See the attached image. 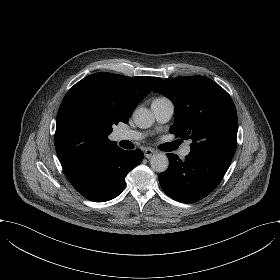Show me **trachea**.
Wrapping results in <instances>:
<instances>
[{
  "instance_id": "1",
  "label": "trachea",
  "mask_w": 280,
  "mask_h": 280,
  "mask_svg": "<svg viewBox=\"0 0 280 280\" xmlns=\"http://www.w3.org/2000/svg\"><path fill=\"white\" fill-rule=\"evenodd\" d=\"M180 144H181V141L177 140V141H173L170 143H164V144L158 146V149H160L162 151H173V150H176Z\"/></svg>"
}]
</instances>
